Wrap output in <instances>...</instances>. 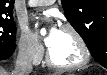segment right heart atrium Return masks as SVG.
<instances>
[{
	"label": "right heart atrium",
	"instance_id": "1",
	"mask_svg": "<svg viewBox=\"0 0 107 75\" xmlns=\"http://www.w3.org/2000/svg\"><path fill=\"white\" fill-rule=\"evenodd\" d=\"M19 55L25 60L39 62L43 50L35 36L27 29L22 28L17 42Z\"/></svg>",
	"mask_w": 107,
	"mask_h": 75
}]
</instances>
